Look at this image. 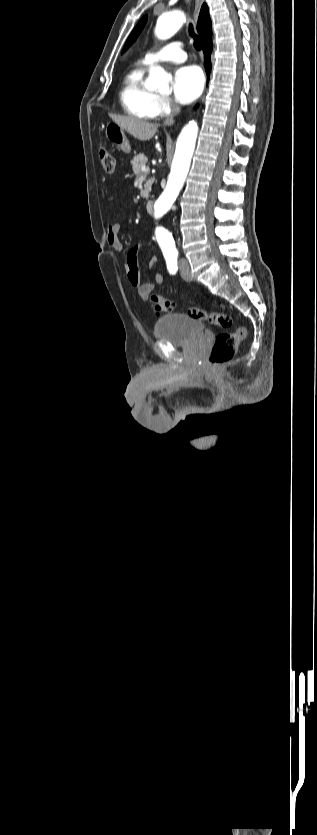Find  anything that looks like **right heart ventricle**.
<instances>
[{
    "instance_id": "e07e8e85",
    "label": "right heart ventricle",
    "mask_w": 317,
    "mask_h": 835,
    "mask_svg": "<svg viewBox=\"0 0 317 835\" xmlns=\"http://www.w3.org/2000/svg\"><path fill=\"white\" fill-rule=\"evenodd\" d=\"M145 65L143 61H140L126 73L119 92L124 111L138 119L154 117V106L158 97L144 84Z\"/></svg>"
}]
</instances>
